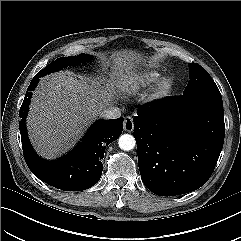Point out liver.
<instances>
[{
  "label": "liver",
  "mask_w": 241,
  "mask_h": 241,
  "mask_svg": "<svg viewBox=\"0 0 241 241\" xmlns=\"http://www.w3.org/2000/svg\"><path fill=\"white\" fill-rule=\"evenodd\" d=\"M110 79L83 78L69 72H56L41 79L34 90L27 128L39 155L54 159L67 152L100 113L111 106L115 90H134L139 74L137 65L144 61L135 51L112 54Z\"/></svg>",
  "instance_id": "1"
}]
</instances>
